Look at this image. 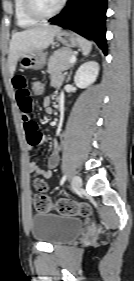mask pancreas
I'll return each instance as SVG.
<instances>
[{"label":"pancreas","instance_id":"obj_1","mask_svg":"<svg viewBox=\"0 0 134 281\" xmlns=\"http://www.w3.org/2000/svg\"><path fill=\"white\" fill-rule=\"evenodd\" d=\"M74 56V51L70 48H61L53 52L48 60V70L50 75H55L69 69L72 63L70 58Z\"/></svg>","mask_w":134,"mask_h":281}]
</instances>
